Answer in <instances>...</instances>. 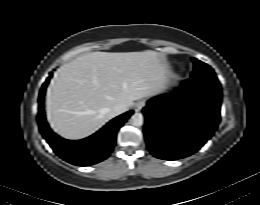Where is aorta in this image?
<instances>
[{"label": "aorta", "mask_w": 260, "mask_h": 205, "mask_svg": "<svg viewBox=\"0 0 260 205\" xmlns=\"http://www.w3.org/2000/svg\"><path fill=\"white\" fill-rule=\"evenodd\" d=\"M131 122L134 126H142L143 125V115L141 113H134L131 116Z\"/></svg>", "instance_id": "1"}]
</instances>
